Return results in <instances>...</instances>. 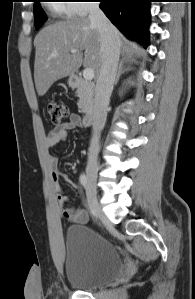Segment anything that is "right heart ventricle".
Here are the masks:
<instances>
[{"instance_id": "1", "label": "right heart ventricle", "mask_w": 195, "mask_h": 299, "mask_svg": "<svg viewBox=\"0 0 195 299\" xmlns=\"http://www.w3.org/2000/svg\"><path fill=\"white\" fill-rule=\"evenodd\" d=\"M53 9L58 15H71L68 10V5L64 3H57L53 5Z\"/></svg>"}]
</instances>
